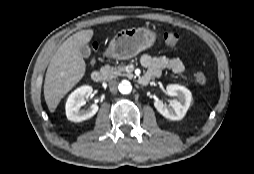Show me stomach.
I'll use <instances>...</instances> for the list:
<instances>
[{
	"label": "stomach",
	"mask_w": 254,
	"mask_h": 174,
	"mask_svg": "<svg viewBox=\"0 0 254 174\" xmlns=\"http://www.w3.org/2000/svg\"><path fill=\"white\" fill-rule=\"evenodd\" d=\"M156 41V33L145 27L129 28L119 31L110 41L106 56L118 60L135 57L150 48Z\"/></svg>",
	"instance_id": "obj_1"
}]
</instances>
